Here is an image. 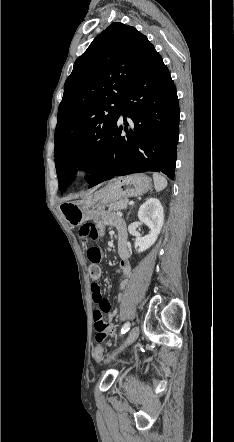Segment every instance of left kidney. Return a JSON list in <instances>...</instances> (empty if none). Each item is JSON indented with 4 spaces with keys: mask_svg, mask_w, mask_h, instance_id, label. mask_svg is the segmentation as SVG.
<instances>
[{
    "mask_svg": "<svg viewBox=\"0 0 234 442\" xmlns=\"http://www.w3.org/2000/svg\"><path fill=\"white\" fill-rule=\"evenodd\" d=\"M139 220L147 225L150 233L144 237H138L134 246L137 252H143L150 248L157 240L164 222V211L161 202L157 198H149L143 203L138 211Z\"/></svg>",
    "mask_w": 234,
    "mask_h": 442,
    "instance_id": "left-kidney-1",
    "label": "left kidney"
}]
</instances>
